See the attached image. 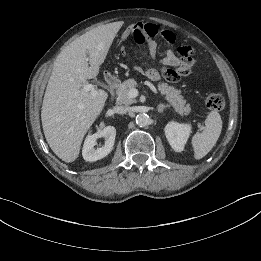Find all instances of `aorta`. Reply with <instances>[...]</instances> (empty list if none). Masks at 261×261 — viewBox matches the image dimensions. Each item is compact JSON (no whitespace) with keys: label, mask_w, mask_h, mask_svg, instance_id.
<instances>
[{"label":"aorta","mask_w":261,"mask_h":261,"mask_svg":"<svg viewBox=\"0 0 261 261\" xmlns=\"http://www.w3.org/2000/svg\"><path fill=\"white\" fill-rule=\"evenodd\" d=\"M135 121H136V124L139 127H145L149 124L150 119H149V116L147 114L140 113L136 116Z\"/></svg>","instance_id":"obj_1"}]
</instances>
